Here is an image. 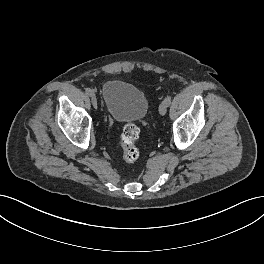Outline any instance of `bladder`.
<instances>
[{
	"mask_svg": "<svg viewBox=\"0 0 264 264\" xmlns=\"http://www.w3.org/2000/svg\"><path fill=\"white\" fill-rule=\"evenodd\" d=\"M102 97L106 112L120 122L142 120L148 111L146 95L135 85L122 80L103 84Z\"/></svg>",
	"mask_w": 264,
	"mask_h": 264,
	"instance_id": "bladder-1",
	"label": "bladder"
}]
</instances>
